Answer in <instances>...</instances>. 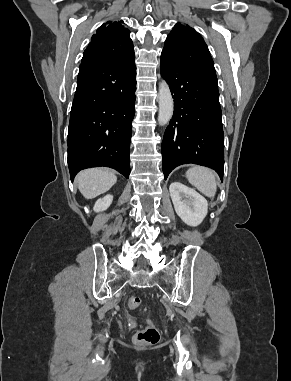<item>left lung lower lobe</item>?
Listing matches in <instances>:
<instances>
[{
    "label": "left lung lower lobe",
    "mask_w": 291,
    "mask_h": 381,
    "mask_svg": "<svg viewBox=\"0 0 291 381\" xmlns=\"http://www.w3.org/2000/svg\"><path fill=\"white\" fill-rule=\"evenodd\" d=\"M162 77L174 98V114L162 141L163 173L194 163L223 180L224 136L217 78L200 75L162 53Z\"/></svg>",
    "instance_id": "obj_1"
}]
</instances>
